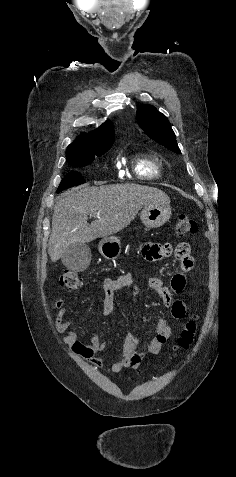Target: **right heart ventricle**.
Returning <instances> with one entry per match:
<instances>
[{
  "instance_id": "right-heart-ventricle-1",
  "label": "right heart ventricle",
  "mask_w": 236,
  "mask_h": 477,
  "mask_svg": "<svg viewBox=\"0 0 236 477\" xmlns=\"http://www.w3.org/2000/svg\"><path fill=\"white\" fill-rule=\"evenodd\" d=\"M134 172L143 179H154L161 174V166L156 157L142 156L134 163Z\"/></svg>"
}]
</instances>
